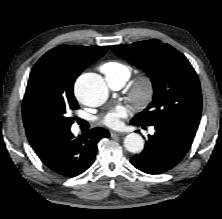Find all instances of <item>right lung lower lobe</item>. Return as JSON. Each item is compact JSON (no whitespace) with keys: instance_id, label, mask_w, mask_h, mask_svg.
Instances as JSON below:
<instances>
[{"instance_id":"98d812e1","label":"right lung lower lobe","mask_w":222,"mask_h":219,"mask_svg":"<svg viewBox=\"0 0 222 219\" xmlns=\"http://www.w3.org/2000/svg\"><path fill=\"white\" fill-rule=\"evenodd\" d=\"M109 136L107 130L97 127L89 130L86 135L75 138L69 129L56 142L50 153L43 157V161L59 175L78 176L94 162L98 142Z\"/></svg>"}]
</instances>
